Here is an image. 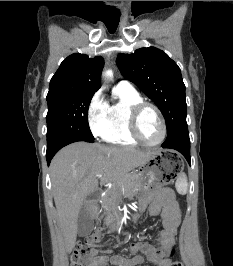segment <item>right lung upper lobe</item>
Masks as SVG:
<instances>
[{"label":"right lung upper lobe","instance_id":"cb5924a9","mask_svg":"<svg viewBox=\"0 0 233 266\" xmlns=\"http://www.w3.org/2000/svg\"><path fill=\"white\" fill-rule=\"evenodd\" d=\"M104 59L85 54L68 56L50 81L47 99L76 93H95L101 86Z\"/></svg>","mask_w":233,"mask_h":266}]
</instances>
